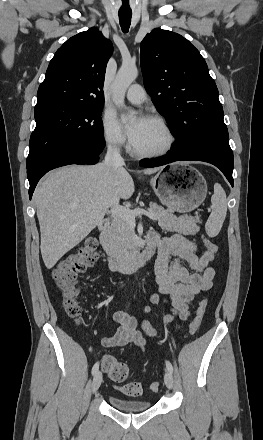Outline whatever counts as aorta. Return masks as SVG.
<instances>
[{"label":"aorta","instance_id":"1","mask_svg":"<svg viewBox=\"0 0 263 440\" xmlns=\"http://www.w3.org/2000/svg\"><path fill=\"white\" fill-rule=\"evenodd\" d=\"M138 69L135 64H123L112 84V98L114 103L119 106H124L125 94L131 83L137 78ZM134 115H130L128 120H132Z\"/></svg>","mask_w":263,"mask_h":440}]
</instances>
